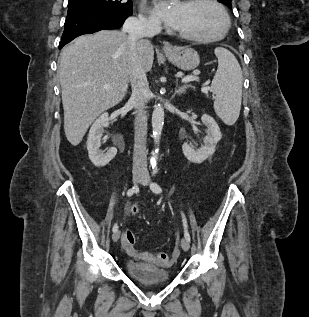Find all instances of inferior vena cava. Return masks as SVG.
<instances>
[{
	"label": "inferior vena cava",
	"mask_w": 309,
	"mask_h": 317,
	"mask_svg": "<svg viewBox=\"0 0 309 317\" xmlns=\"http://www.w3.org/2000/svg\"><path fill=\"white\" fill-rule=\"evenodd\" d=\"M160 31L159 24L135 17L126 19L123 32L128 33V38L135 45L143 37H153ZM129 79L132 86L130 101L135 107V137L133 153V170L145 172L147 170V114L146 104L150 96V89L145 70L141 64L136 49L132 51L131 65L129 68Z\"/></svg>",
	"instance_id": "602c4592"
}]
</instances>
